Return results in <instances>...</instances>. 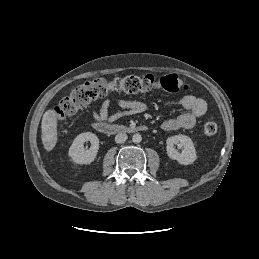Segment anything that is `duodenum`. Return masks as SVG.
Returning <instances> with one entry per match:
<instances>
[{
  "mask_svg": "<svg viewBox=\"0 0 259 259\" xmlns=\"http://www.w3.org/2000/svg\"><path fill=\"white\" fill-rule=\"evenodd\" d=\"M94 128L103 134H118V133H137L147 131V126L137 125V126H124L118 124L109 123H95Z\"/></svg>",
  "mask_w": 259,
  "mask_h": 259,
  "instance_id": "duodenum-1",
  "label": "duodenum"
}]
</instances>
